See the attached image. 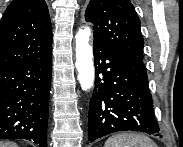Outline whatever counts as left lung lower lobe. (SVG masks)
Listing matches in <instances>:
<instances>
[{"label": "left lung lower lobe", "instance_id": "0a47b994", "mask_svg": "<svg viewBox=\"0 0 183 147\" xmlns=\"http://www.w3.org/2000/svg\"><path fill=\"white\" fill-rule=\"evenodd\" d=\"M95 88L89 105L88 140L118 131L159 135L143 61L93 43Z\"/></svg>", "mask_w": 183, "mask_h": 147}]
</instances>
